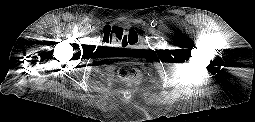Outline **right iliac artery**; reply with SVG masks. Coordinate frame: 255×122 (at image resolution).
Returning a JSON list of instances; mask_svg holds the SVG:
<instances>
[{
  "mask_svg": "<svg viewBox=\"0 0 255 122\" xmlns=\"http://www.w3.org/2000/svg\"><path fill=\"white\" fill-rule=\"evenodd\" d=\"M85 28L89 29V28H91V26L89 24H87V25H85Z\"/></svg>",
  "mask_w": 255,
  "mask_h": 122,
  "instance_id": "right-iliac-artery-1",
  "label": "right iliac artery"
}]
</instances>
